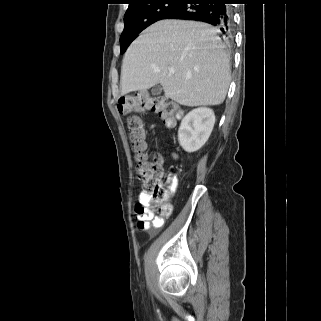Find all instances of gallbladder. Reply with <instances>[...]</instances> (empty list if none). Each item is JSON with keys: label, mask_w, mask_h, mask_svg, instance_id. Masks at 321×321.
Returning <instances> with one entry per match:
<instances>
[{"label": "gallbladder", "mask_w": 321, "mask_h": 321, "mask_svg": "<svg viewBox=\"0 0 321 321\" xmlns=\"http://www.w3.org/2000/svg\"><path fill=\"white\" fill-rule=\"evenodd\" d=\"M162 92V87L160 84H156L155 86L152 87L151 89V94L153 96H157Z\"/></svg>", "instance_id": "1"}]
</instances>
